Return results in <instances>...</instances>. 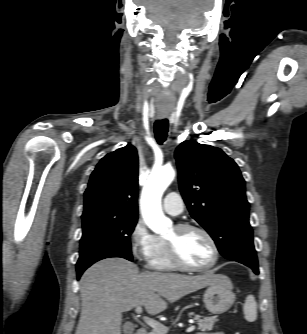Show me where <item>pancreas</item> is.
I'll return each instance as SVG.
<instances>
[{
    "label": "pancreas",
    "instance_id": "1",
    "mask_svg": "<svg viewBox=\"0 0 307 334\" xmlns=\"http://www.w3.org/2000/svg\"><path fill=\"white\" fill-rule=\"evenodd\" d=\"M192 315H194V314L191 313L190 316H192ZM194 319L197 320L198 329L200 331H207V330L210 331V330H212L215 323L218 321V318L216 316L201 318L200 316L196 315L194 317ZM148 334H166V333L152 330ZM198 334H202V333H198Z\"/></svg>",
    "mask_w": 307,
    "mask_h": 334
}]
</instances>
